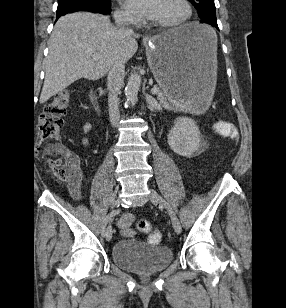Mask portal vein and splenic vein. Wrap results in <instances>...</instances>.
<instances>
[{
  "label": "portal vein and splenic vein",
  "mask_w": 286,
  "mask_h": 308,
  "mask_svg": "<svg viewBox=\"0 0 286 308\" xmlns=\"http://www.w3.org/2000/svg\"><path fill=\"white\" fill-rule=\"evenodd\" d=\"M92 57H93L94 60H96V59H99L100 56H99L98 53H96L95 51H93ZM158 92H159V88H157V87H153V88L151 89V93H152V94H157Z\"/></svg>",
  "instance_id": "18ae733b"
}]
</instances>
